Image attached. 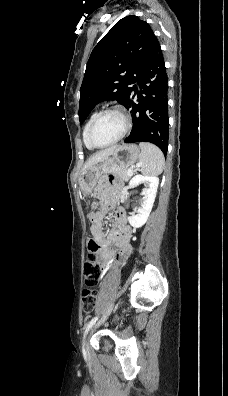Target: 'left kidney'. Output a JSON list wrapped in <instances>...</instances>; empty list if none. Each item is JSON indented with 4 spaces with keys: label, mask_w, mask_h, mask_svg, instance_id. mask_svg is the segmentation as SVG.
<instances>
[{
    "label": "left kidney",
    "mask_w": 228,
    "mask_h": 396,
    "mask_svg": "<svg viewBox=\"0 0 228 396\" xmlns=\"http://www.w3.org/2000/svg\"><path fill=\"white\" fill-rule=\"evenodd\" d=\"M142 183H144L145 189L141 192L143 196L141 206L136 211L137 214H132V216L128 217L130 225L134 228H139L146 223L155 201L159 178L156 176L136 175L130 180L129 186L136 187Z\"/></svg>",
    "instance_id": "5707ae66"
}]
</instances>
